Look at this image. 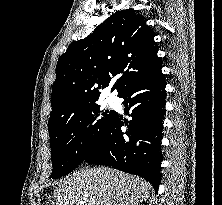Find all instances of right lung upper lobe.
I'll return each mask as SVG.
<instances>
[{"mask_svg":"<svg viewBox=\"0 0 222 205\" xmlns=\"http://www.w3.org/2000/svg\"><path fill=\"white\" fill-rule=\"evenodd\" d=\"M154 32L134 9L117 11L60 56L52 86L48 124L97 104L113 77L118 96L162 68Z\"/></svg>","mask_w":222,"mask_h":205,"instance_id":"1","label":"right lung upper lobe"}]
</instances>
